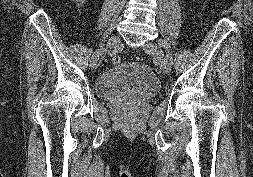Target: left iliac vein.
I'll return each mask as SVG.
<instances>
[{
    "label": "left iliac vein",
    "instance_id": "4c4485c4",
    "mask_svg": "<svg viewBox=\"0 0 253 177\" xmlns=\"http://www.w3.org/2000/svg\"><path fill=\"white\" fill-rule=\"evenodd\" d=\"M163 46L168 49V44L163 42ZM145 49L150 52L155 59H157L160 62L162 70L166 73L169 74L171 71V65L173 58L171 54L164 55L163 50L161 46L157 43L149 42L145 45Z\"/></svg>",
    "mask_w": 253,
    "mask_h": 177
}]
</instances>
